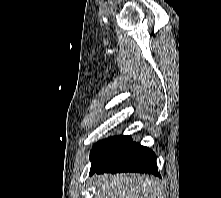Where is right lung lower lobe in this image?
I'll return each mask as SVG.
<instances>
[{"mask_svg": "<svg viewBox=\"0 0 221 198\" xmlns=\"http://www.w3.org/2000/svg\"><path fill=\"white\" fill-rule=\"evenodd\" d=\"M95 172L98 174L137 172L160 176L157 170L155 153L149 148L132 141L105 164L90 171V175Z\"/></svg>", "mask_w": 221, "mask_h": 198, "instance_id": "1", "label": "right lung lower lobe"}]
</instances>
